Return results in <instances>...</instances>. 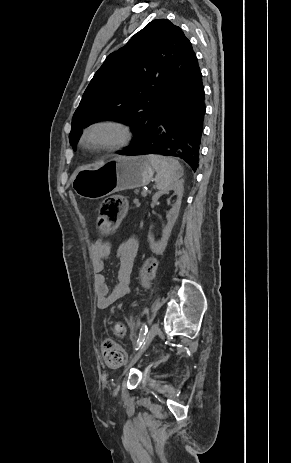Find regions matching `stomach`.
I'll return each mask as SVG.
<instances>
[{"label": "stomach", "mask_w": 291, "mask_h": 463, "mask_svg": "<svg viewBox=\"0 0 291 463\" xmlns=\"http://www.w3.org/2000/svg\"><path fill=\"white\" fill-rule=\"evenodd\" d=\"M147 156L116 157L105 163L79 167L71 184L81 197L100 199L112 193L142 187L153 177Z\"/></svg>", "instance_id": "stomach-1"}]
</instances>
